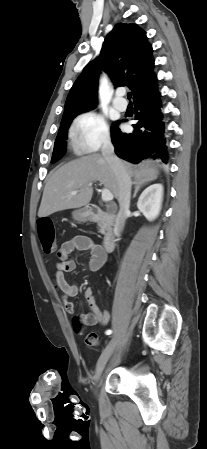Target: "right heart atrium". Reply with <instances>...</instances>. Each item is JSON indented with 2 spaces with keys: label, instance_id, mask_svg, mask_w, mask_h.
Here are the masks:
<instances>
[{
  "label": "right heart atrium",
  "instance_id": "obj_1",
  "mask_svg": "<svg viewBox=\"0 0 207 449\" xmlns=\"http://www.w3.org/2000/svg\"><path fill=\"white\" fill-rule=\"evenodd\" d=\"M72 131L76 147L86 153L95 152L110 141L106 120L95 111H86L76 117Z\"/></svg>",
  "mask_w": 207,
  "mask_h": 449
}]
</instances>
